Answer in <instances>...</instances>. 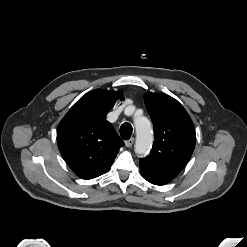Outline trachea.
<instances>
[{
  "label": "trachea",
  "instance_id": "trachea-1",
  "mask_svg": "<svg viewBox=\"0 0 247 247\" xmlns=\"http://www.w3.org/2000/svg\"><path fill=\"white\" fill-rule=\"evenodd\" d=\"M132 126L129 123H123L120 127V135L124 140H128L132 135Z\"/></svg>",
  "mask_w": 247,
  "mask_h": 247
}]
</instances>
